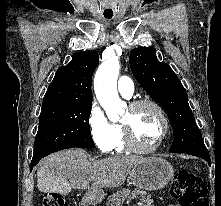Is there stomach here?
Here are the masks:
<instances>
[{
  "label": "stomach",
  "instance_id": "0dacf381",
  "mask_svg": "<svg viewBox=\"0 0 221 206\" xmlns=\"http://www.w3.org/2000/svg\"><path fill=\"white\" fill-rule=\"evenodd\" d=\"M174 169L164 159L159 157L144 158L132 169L129 178L139 189L155 191L163 188L173 178ZM101 188H92L85 194L87 203L96 204L103 200Z\"/></svg>",
  "mask_w": 221,
  "mask_h": 206
}]
</instances>
